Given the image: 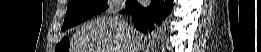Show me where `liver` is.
I'll return each instance as SVG.
<instances>
[{"label":"liver","instance_id":"6515ba94","mask_svg":"<svg viewBox=\"0 0 261 52\" xmlns=\"http://www.w3.org/2000/svg\"><path fill=\"white\" fill-rule=\"evenodd\" d=\"M142 35L120 17H100L80 26L71 41L73 52H138Z\"/></svg>","mask_w":261,"mask_h":52}]
</instances>
